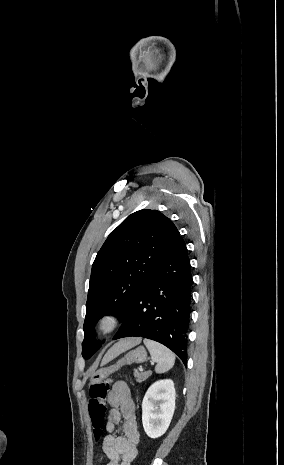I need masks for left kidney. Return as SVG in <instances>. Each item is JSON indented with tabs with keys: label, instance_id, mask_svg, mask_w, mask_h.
Listing matches in <instances>:
<instances>
[{
	"label": "left kidney",
	"instance_id": "5707ae66",
	"mask_svg": "<svg viewBox=\"0 0 284 465\" xmlns=\"http://www.w3.org/2000/svg\"><path fill=\"white\" fill-rule=\"evenodd\" d=\"M175 411V389L171 379L156 381L149 387L142 403L144 431L151 439L166 433Z\"/></svg>",
	"mask_w": 284,
	"mask_h": 465
}]
</instances>
